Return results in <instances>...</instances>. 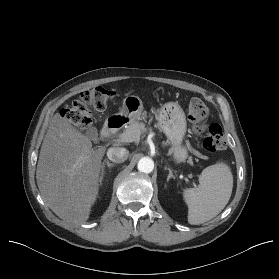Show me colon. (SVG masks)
<instances>
[{"instance_id": "1", "label": "colon", "mask_w": 279, "mask_h": 279, "mask_svg": "<svg viewBox=\"0 0 279 279\" xmlns=\"http://www.w3.org/2000/svg\"><path fill=\"white\" fill-rule=\"evenodd\" d=\"M115 91L102 86L79 93L71 105L61 111V117L80 129L91 124V109L105 110ZM208 107L200 99H192L188 106V118L193 131L200 135L205 134L203 147L210 152L222 150L226 147V137L223 128L218 123L206 124Z\"/></svg>"}]
</instances>
